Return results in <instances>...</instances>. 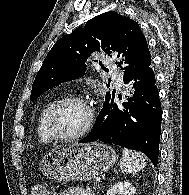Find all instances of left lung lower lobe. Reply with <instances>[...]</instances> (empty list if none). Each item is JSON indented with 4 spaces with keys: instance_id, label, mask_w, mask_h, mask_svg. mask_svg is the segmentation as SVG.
I'll use <instances>...</instances> for the list:
<instances>
[{
    "instance_id": "0a47b994",
    "label": "left lung lower lobe",
    "mask_w": 189,
    "mask_h": 195,
    "mask_svg": "<svg viewBox=\"0 0 189 195\" xmlns=\"http://www.w3.org/2000/svg\"><path fill=\"white\" fill-rule=\"evenodd\" d=\"M130 88L127 101L104 102L92 132L80 143L102 141L143 152L158 163L161 104L151 59L124 78Z\"/></svg>"
}]
</instances>
